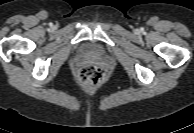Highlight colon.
Wrapping results in <instances>:
<instances>
[{
  "label": "colon",
  "mask_w": 194,
  "mask_h": 133,
  "mask_svg": "<svg viewBox=\"0 0 194 133\" xmlns=\"http://www.w3.org/2000/svg\"><path fill=\"white\" fill-rule=\"evenodd\" d=\"M104 77V71L95 65H87L82 67L78 71L77 75L79 83L88 88L99 86L103 82Z\"/></svg>",
  "instance_id": "1"
}]
</instances>
